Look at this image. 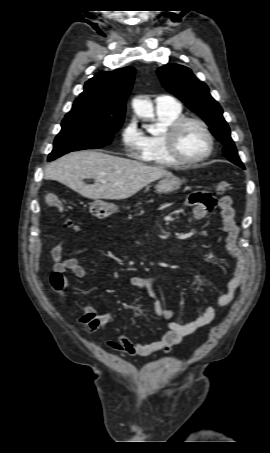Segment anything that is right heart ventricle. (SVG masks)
Returning a JSON list of instances; mask_svg holds the SVG:
<instances>
[{"instance_id":"right-heart-ventricle-1","label":"right heart ventricle","mask_w":270,"mask_h":453,"mask_svg":"<svg viewBox=\"0 0 270 453\" xmlns=\"http://www.w3.org/2000/svg\"><path fill=\"white\" fill-rule=\"evenodd\" d=\"M181 116V108L178 110L157 112V123L162 131L158 134H148L145 136L144 147L138 156L141 161L158 166L175 167L179 165L167 154L162 137L167 127Z\"/></svg>"}]
</instances>
